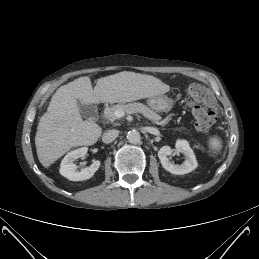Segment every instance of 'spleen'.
<instances>
[{
	"instance_id": "1",
	"label": "spleen",
	"mask_w": 259,
	"mask_h": 259,
	"mask_svg": "<svg viewBox=\"0 0 259 259\" xmlns=\"http://www.w3.org/2000/svg\"><path fill=\"white\" fill-rule=\"evenodd\" d=\"M209 147L213 151H219L222 147V141L219 137L214 136L209 139Z\"/></svg>"
}]
</instances>
